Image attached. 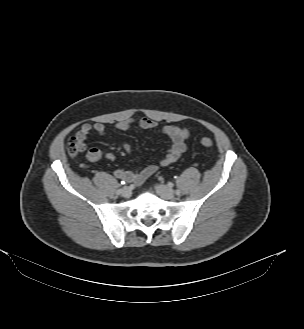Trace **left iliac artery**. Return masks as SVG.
Wrapping results in <instances>:
<instances>
[{"mask_svg": "<svg viewBox=\"0 0 304 329\" xmlns=\"http://www.w3.org/2000/svg\"><path fill=\"white\" fill-rule=\"evenodd\" d=\"M176 194L179 195L180 194V190H176Z\"/></svg>", "mask_w": 304, "mask_h": 329, "instance_id": "left-iliac-artery-1", "label": "left iliac artery"}]
</instances>
